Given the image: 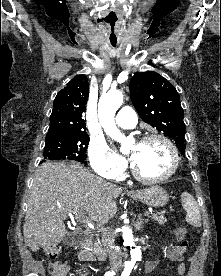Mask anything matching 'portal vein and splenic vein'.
I'll use <instances>...</instances> for the list:
<instances>
[{"label": "portal vein and splenic vein", "mask_w": 221, "mask_h": 276, "mask_svg": "<svg viewBox=\"0 0 221 276\" xmlns=\"http://www.w3.org/2000/svg\"><path fill=\"white\" fill-rule=\"evenodd\" d=\"M149 212L145 211L144 215L145 216H149ZM75 218L81 222V223H85L87 225H90V220L84 215V213H79L78 215L75 216Z\"/></svg>", "instance_id": "1"}]
</instances>
